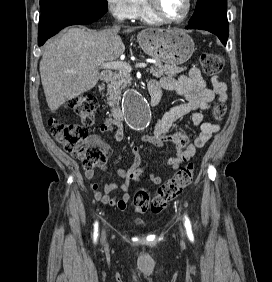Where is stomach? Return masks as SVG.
<instances>
[{"label":"stomach","instance_id":"1","mask_svg":"<svg viewBox=\"0 0 272 282\" xmlns=\"http://www.w3.org/2000/svg\"><path fill=\"white\" fill-rule=\"evenodd\" d=\"M137 40L145 53L169 65L185 63L195 51L193 39L180 29L148 28L137 35Z\"/></svg>","mask_w":272,"mask_h":282}]
</instances>
